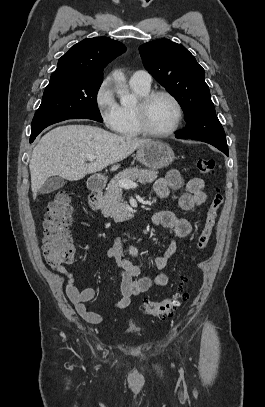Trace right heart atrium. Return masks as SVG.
<instances>
[{"label": "right heart atrium", "instance_id": "obj_1", "mask_svg": "<svg viewBox=\"0 0 265 407\" xmlns=\"http://www.w3.org/2000/svg\"><path fill=\"white\" fill-rule=\"evenodd\" d=\"M94 104L103 124L108 129L115 130L120 121V106L108 80H104L96 89Z\"/></svg>", "mask_w": 265, "mask_h": 407}]
</instances>
